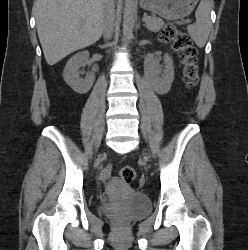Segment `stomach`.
<instances>
[{
	"label": "stomach",
	"mask_w": 248,
	"mask_h": 250,
	"mask_svg": "<svg viewBox=\"0 0 248 250\" xmlns=\"http://www.w3.org/2000/svg\"><path fill=\"white\" fill-rule=\"evenodd\" d=\"M198 0H140V6L168 20L182 19L195 8Z\"/></svg>",
	"instance_id": "0dacf381"
}]
</instances>
